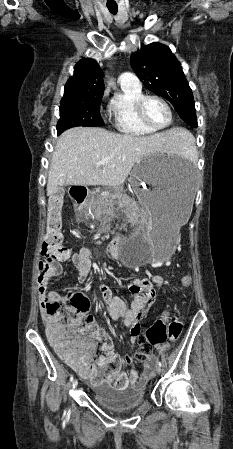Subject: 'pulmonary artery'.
Here are the masks:
<instances>
[{"label": "pulmonary artery", "mask_w": 233, "mask_h": 449, "mask_svg": "<svg viewBox=\"0 0 233 449\" xmlns=\"http://www.w3.org/2000/svg\"><path fill=\"white\" fill-rule=\"evenodd\" d=\"M120 84L130 85L134 87H141V83L135 74L131 72H124L119 76Z\"/></svg>", "instance_id": "1"}]
</instances>
